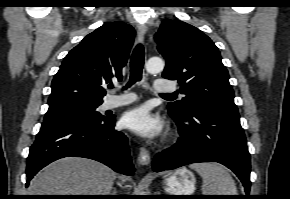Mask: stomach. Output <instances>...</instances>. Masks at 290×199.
I'll use <instances>...</instances> for the list:
<instances>
[{
  "label": "stomach",
  "mask_w": 290,
  "mask_h": 199,
  "mask_svg": "<svg viewBox=\"0 0 290 199\" xmlns=\"http://www.w3.org/2000/svg\"><path fill=\"white\" fill-rule=\"evenodd\" d=\"M195 183L194 174L186 168H181L167 178L166 189L170 195H192Z\"/></svg>",
  "instance_id": "1"
}]
</instances>
